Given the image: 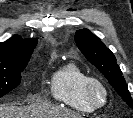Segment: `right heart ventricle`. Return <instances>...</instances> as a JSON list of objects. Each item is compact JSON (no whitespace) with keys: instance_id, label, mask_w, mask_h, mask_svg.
<instances>
[{"instance_id":"e07e8e85","label":"right heart ventricle","mask_w":133,"mask_h":118,"mask_svg":"<svg viewBox=\"0 0 133 118\" xmlns=\"http://www.w3.org/2000/svg\"><path fill=\"white\" fill-rule=\"evenodd\" d=\"M88 77V74L74 63L63 65L51 77L52 97L79 113H93L95 109L88 103L84 93V84Z\"/></svg>"}]
</instances>
